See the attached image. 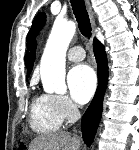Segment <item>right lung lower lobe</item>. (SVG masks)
Listing matches in <instances>:
<instances>
[{
	"mask_svg": "<svg viewBox=\"0 0 139 150\" xmlns=\"http://www.w3.org/2000/svg\"><path fill=\"white\" fill-rule=\"evenodd\" d=\"M94 54L98 66V87L95 96L82 117L83 140L90 146L102 115L103 97L108 81L107 57L103 45L97 39L94 40Z\"/></svg>",
	"mask_w": 139,
	"mask_h": 150,
	"instance_id": "98d812e1",
	"label": "right lung lower lobe"
}]
</instances>
